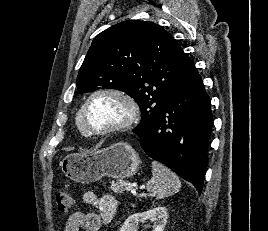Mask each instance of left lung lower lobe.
<instances>
[{"mask_svg": "<svg viewBox=\"0 0 268 231\" xmlns=\"http://www.w3.org/2000/svg\"><path fill=\"white\" fill-rule=\"evenodd\" d=\"M213 125L210 98L195 68L169 94L154 125L136 135L145 153L201 193Z\"/></svg>", "mask_w": 268, "mask_h": 231, "instance_id": "1", "label": "left lung lower lobe"}]
</instances>
